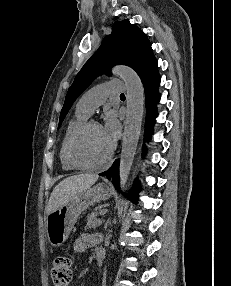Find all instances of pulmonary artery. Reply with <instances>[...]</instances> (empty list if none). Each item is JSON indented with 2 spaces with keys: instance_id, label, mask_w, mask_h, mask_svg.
Returning a JSON list of instances; mask_svg holds the SVG:
<instances>
[{
  "instance_id": "1",
  "label": "pulmonary artery",
  "mask_w": 231,
  "mask_h": 286,
  "mask_svg": "<svg viewBox=\"0 0 231 286\" xmlns=\"http://www.w3.org/2000/svg\"><path fill=\"white\" fill-rule=\"evenodd\" d=\"M125 89L124 82L118 79L97 85L82 95L77 103V110L90 116L97 107L104 103L110 94H119L124 92Z\"/></svg>"
}]
</instances>
